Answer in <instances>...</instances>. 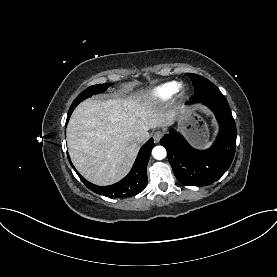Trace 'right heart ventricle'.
<instances>
[{
  "label": "right heart ventricle",
  "mask_w": 277,
  "mask_h": 277,
  "mask_svg": "<svg viewBox=\"0 0 277 277\" xmlns=\"http://www.w3.org/2000/svg\"><path fill=\"white\" fill-rule=\"evenodd\" d=\"M178 85L177 82L164 83L153 89L150 93L149 99L151 101H165L176 93Z\"/></svg>",
  "instance_id": "e07e8e85"
}]
</instances>
